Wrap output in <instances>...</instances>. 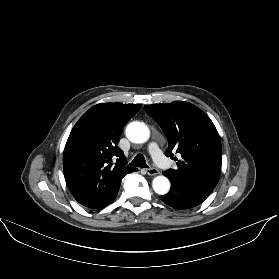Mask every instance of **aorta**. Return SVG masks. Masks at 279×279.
Listing matches in <instances>:
<instances>
[{"label": "aorta", "instance_id": "obj_1", "mask_svg": "<svg viewBox=\"0 0 279 279\" xmlns=\"http://www.w3.org/2000/svg\"><path fill=\"white\" fill-rule=\"evenodd\" d=\"M126 136L133 143H144L150 137L148 126L142 122L134 121L127 125ZM153 190L159 195H165L170 190V181L165 176H157L152 181Z\"/></svg>", "mask_w": 279, "mask_h": 279}]
</instances>
